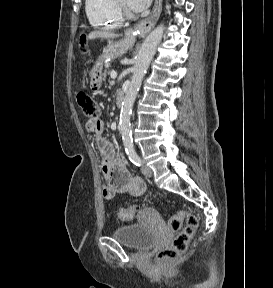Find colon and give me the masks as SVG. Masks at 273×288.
Here are the masks:
<instances>
[{
    "instance_id": "obj_1",
    "label": "colon",
    "mask_w": 273,
    "mask_h": 288,
    "mask_svg": "<svg viewBox=\"0 0 273 288\" xmlns=\"http://www.w3.org/2000/svg\"><path fill=\"white\" fill-rule=\"evenodd\" d=\"M77 102L84 113L90 118H96L99 114V106L95 99L88 93L80 92ZM137 212L136 206H128L119 211V217L124 221L134 220ZM168 227L178 234L174 237L171 245L162 249L157 255L159 264L166 265L180 257L188 248V244L198 226L197 216L187 210H180L168 219Z\"/></svg>"
}]
</instances>
